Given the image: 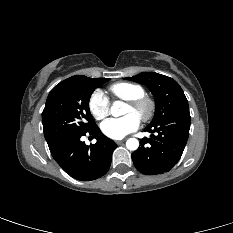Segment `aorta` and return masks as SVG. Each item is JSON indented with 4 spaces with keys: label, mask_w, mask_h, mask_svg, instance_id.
<instances>
[{
    "label": "aorta",
    "mask_w": 233,
    "mask_h": 233,
    "mask_svg": "<svg viewBox=\"0 0 233 233\" xmlns=\"http://www.w3.org/2000/svg\"><path fill=\"white\" fill-rule=\"evenodd\" d=\"M122 104L123 103L120 101H116L113 103V105L110 109V112L114 117H118V116L123 114L121 111ZM126 147H127V149H129L131 151H135L139 147V141L136 138H129L126 141Z\"/></svg>",
    "instance_id": "obj_1"
}]
</instances>
